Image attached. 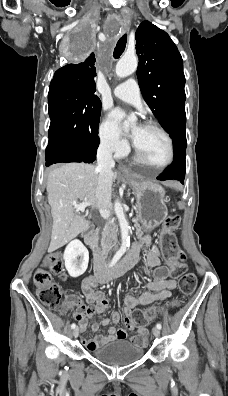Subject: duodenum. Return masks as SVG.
Listing matches in <instances>:
<instances>
[{"label": "duodenum", "instance_id": "1", "mask_svg": "<svg viewBox=\"0 0 228 396\" xmlns=\"http://www.w3.org/2000/svg\"><path fill=\"white\" fill-rule=\"evenodd\" d=\"M85 241L92 249L96 274L103 275L105 281H110L113 278L121 276L135 263L134 258L125 257L112 270L105 272V257L104 252L98 244L97 232L93 230L87 233Z\"/></svg>", "mask_w": 228, "mask_h": 396}]
</instances>
